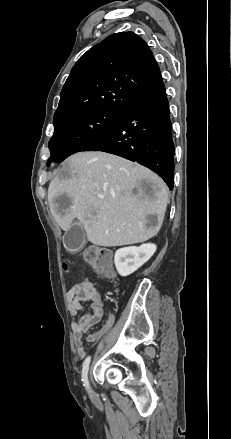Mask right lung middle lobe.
<instances>
[{
    "label": "right lung middle lobe",
    "instance_id": "1",
    "mask_svg": "<svg viewBox=\"0 0 231 439\" xmlns=\"http://www.w3.org/2000/svg\"><path fill=\"white\" fill-rule=\"evenodd\" d=\"M122 114L106 109H89L55 118L47 166L83 151L117 123Z\"/></svg>",
    "mask_w": 231,
    "mask_h": 439
}]
</instances>
